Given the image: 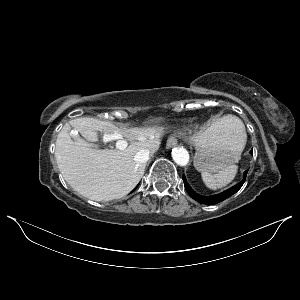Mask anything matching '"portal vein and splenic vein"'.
Masks as SVG:
<instances>
[{
	"label": "portal vein and splenic vein",
	"mask_w": 300,
	"mask_h": 300,
	"mask_svg": "<svg viewBox=\"0 0 300 300\" xmlns=\"http://www.w3.org/2000/svg\"><path fill=\"white\" fill-rule=\"evenodd\" d=\"M114 139L117 140V142H116L117 149L124 150L127 147V145H128L127 141L123 140V138L120 134H112L110 136V140H114Z\"/></svg>",
	"instance_id": "portal-vein-and-splenic-vein-1"
}]
</instances>
